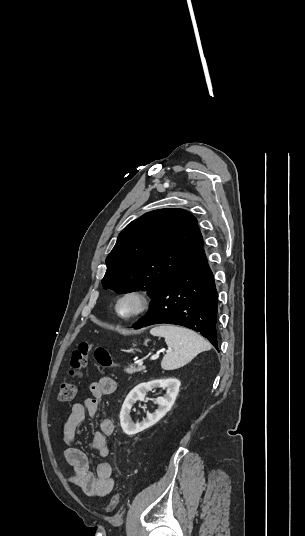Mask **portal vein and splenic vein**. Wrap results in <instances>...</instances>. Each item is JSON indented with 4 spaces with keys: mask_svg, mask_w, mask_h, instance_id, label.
<instances>
[{
    "mask_svg": "<svg viewBox=\"0 0 305 536\" xmlns=\"http://www.w3.org/2000/svg\"><path fill=\"white\" fill-rule=\"evenodd\" d=\"M163 352V350H161ZM168 352H172L171 348H169ZM159 358V354H155V356H151L150 360H157Z\"/></svg>",
    "mask_w": 305,
    "mask_h": 536,
    "instance_id": "obj_1",
    "label": "portal vein and splenic vein"
}]
</instances>
